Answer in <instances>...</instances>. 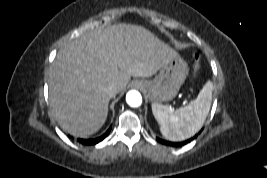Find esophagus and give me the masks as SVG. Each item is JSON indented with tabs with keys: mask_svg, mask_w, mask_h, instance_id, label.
Returning <instances> with one entry per match:
<instances>
[{
	"mask_svg": "<svg viewBox=\"0 0 267 178\" xmlns=\"http://www.w3.org/2000/svg\"><path fill=\"white\" fill-rule=\"evenodd\" d=\"M135 87L137 88H141L142 87V84L139 82V81H136L133 83Z\"/></svg>",
	"mask_w": 267,
	"mask_h": 178,
	"instance_id": "esophagus-1",
	"label": "esophagus"
}]
</instances>
